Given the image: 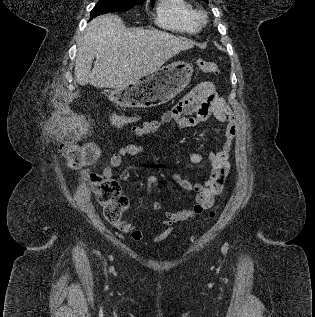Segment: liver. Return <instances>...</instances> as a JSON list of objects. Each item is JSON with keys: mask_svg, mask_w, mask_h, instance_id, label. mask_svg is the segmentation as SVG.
<instances>
[{"mask_svg": "<svg viewBox=\"0 0 315 317\" xmlns=\"http://www.w3.org/2000/svg\"><path fill=\"white\" fill-rule=\"evenodd\" d=\"M194 45L164 31L127 29L117 15H101L88 24L78 44L74 77L81 86L125 88Z\"/></svg>", "mask_w": 315, "mask_h": 317, "instance_id": "obj_1", "label": "liver"}]
</instances>
